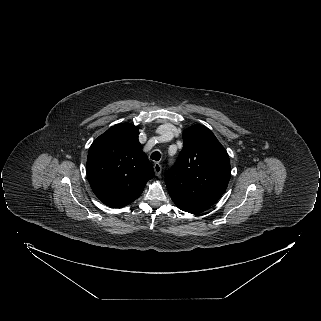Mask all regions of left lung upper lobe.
Wrapping results in <instances>:
<instances>
[{
  "label": "left lung upper lobe",
  "mask_w": 321,
  "mask_h": 321,
  "mask_svg": "<svg viewBox=\"0 0 321 321\" xmlns=\"http://www.w3.org/2000/svg\"><path fill=\"white\" fill-rule=\"evenodd\" d=\"M184 147L165 183L174 202L209 208L225 192L230 175L227 151L205 126L183 131Z\"/></svg>",
  "instance_id": "1"
}]
</instances>
